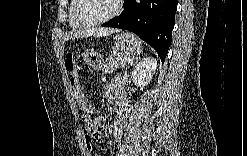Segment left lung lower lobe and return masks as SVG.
<instances>
[{"mask_svg":"<svg viewBox=\"0 0 247 156\" xmlns=\"http://www.w3.org/2000/svg\"><path fill=\"white\" fill-rule=\"evenodd\" d=\"M176 10L177 0H125L123 12L102 26L135 33L152 46L164 62L171 44Z\"/></svg>","mask_w":247,"mask_h":156,"instance_id":"0a47b994","label":"left lung lower lobe"}]
</instances>
